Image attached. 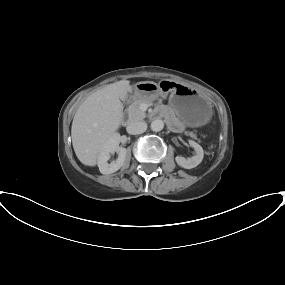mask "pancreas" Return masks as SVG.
<instances>
[{
    "label": "pancreas",
    "mask_w": 285,
    "mask_h": 285,
    "mask_svg": "<svg viewBox=\"0 0 285 285\" xmlns=\"http://www.w3.org/2000/svg\"><path fill=\"white\" fill-rule=\"evenodd\" d=\"M142 104H147V105H152V101L143 99V98H138L136 99L129 107H128V115H129V120L131 121H138V120H143L146 117V113L141 110V105ZM189 135L193 138L196 137V135L193 132H190Z\"/></svg>",
    "instance_id": "obj_1"
}]
</instances>
